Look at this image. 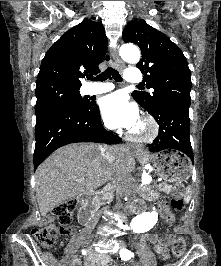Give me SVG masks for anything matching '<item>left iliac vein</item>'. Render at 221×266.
I'll use <instances>...</instances> for the list:
<instances>
[{
	"mask_svg": "<svg viewBox=\"0 0 221 266\" xmlns=\"http://www.w3.org/2000/svg\"><path fill=\"white\" fill-rule=\"evenodd\" d=\"M134 266H142L139 261H134Z\"/></svg>",
	"mask_w": 221,
	"mask_h": 266,
	"instance_id": "1",
	"label": "left iliac vein"
}]
</instances>
